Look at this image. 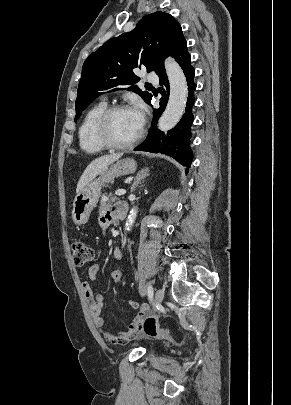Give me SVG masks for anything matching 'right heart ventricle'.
Segmentation results:
<instances>
[{
    "instance_id": "e07e8e85",
    "label": "right heart ventricle",
    "mask_w": 291,
    "mask_h": 405,
    "mask_svg": "<svg viewBox=\"0 0 291 405\" xmlns=\"http://www.w3.org/2000/svg\"><path fill=\"white\" fill-rule=\"evenodd\" d=\"M107 108L106 102L93 105L85 113L79 129L78 139L82 151L88 154H97L107 149L97 138L96 123L101 113Z\"/></svg>"
}]
</instances>
